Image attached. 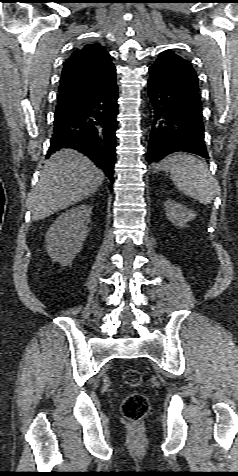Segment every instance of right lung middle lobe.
<instances>
[{
	"label": "right lung middle lobe",
	"instance_id": "1",
	"mask_svg": "<svg viewBox=\"0 0 238 476\" xmlns=\"http://www.w3.org/2000/svg\"><path fill=\"white\" fill-rule=\"evenodd\" d=\"M67 111H68V110H66V111H62V112H56V114H55V115H56V116H57V115H59V116H60V115H62L63 113H65V112H67Z\"/></svg>",
	"mask_w": 238,
	"mask_h": 476
}]
</instances>
